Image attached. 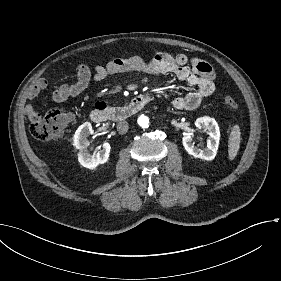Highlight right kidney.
Returning <instances> with one entry per match:
<instances>
[{
  "instance_id": "obj_1",
  "label": "right kidney",
  "mask_w": 281,
  "mask_h": 281,
  "mask_svg": "<svg viewBox=\"0 0 281 281\" xmlns=\"http://www.w3.org/2000/svg\"><path fill=\"white\" fill-rule=\"evenodd\" d=\"M94 130L90 122L83 123L75 132L74 143L79 151L78 159L82 166L90 170H96L101 164H104L109 159L111 150L110 143L103 142V149L100 152L90 154L88 147L90 145L89 135L93 134Z\"/></svg>"
}]
</instances>
